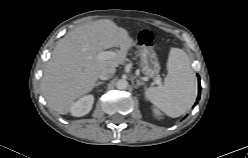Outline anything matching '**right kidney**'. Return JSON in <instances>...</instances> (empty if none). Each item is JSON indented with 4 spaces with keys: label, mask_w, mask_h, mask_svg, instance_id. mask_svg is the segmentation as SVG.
Segmentation results:
<instances>
[{
    "label": "right kidney",
    "mask_w": 248,
    "mask_h": 158,
    "mask_svg": "<svg viewBox=\"0 0 248 158\" xmlns=\"http://www.w3.org/2000/svg\"><path fill=\"white\" fill-rule=\"evenodd\" d=\"M93 103L94 96L92 94L85 95L72 104L70 113L76 117L84 116L90 112Z\"/></svg>",
    "instance_id": "right-kidney-1"
}]
</instances>
